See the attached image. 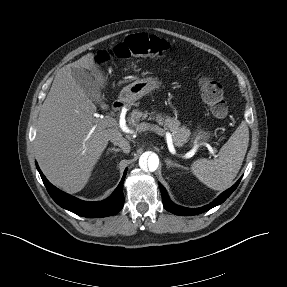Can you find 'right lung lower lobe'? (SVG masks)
<instances>
[{
	"mask_svg": "<svg viewBox=\"0 0 287 287\" xmlns=\"http://www.w3.org/2000/svg\"><path fill=\"white\" fill-rule=\"evenodd\" d=\"M36 166L52 199L61 207L79 216L88 218H101L111 216L118 213L123 207V182L126 176V172H124L121 182L110 197L103 201L87 202L72 197L54 187L43 175L37 164Z\"/></svg>",
	"mask_w": 287,
	"mask_h": 287,
	"instance_id": "98d812e1",
	"label": "right lung lower lobe"
}]
</instances>
